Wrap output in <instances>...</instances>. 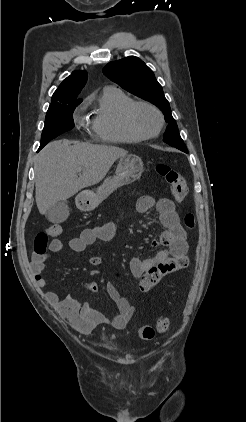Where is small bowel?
Masks as SVG:
<instances>
[{"label":"small bowel","instance_id":"c3829d8e","mask_svg":"<svg viewBox=\"0 0 246 422\" xmlns=\"http://www.w3.org/2000/svg\"><path fill=\"white\" fill-rule=\"evenodd\" d=\"M136 207L140 212H146L149 209L155 208L159 213L160 223L165 228L159 239L153 242L154 245L162 246V249L151 257L144 259L135 257L130 260L129 266L131 273L136 278H141L150 268L169 258L186 256L189 246L186 231L180 223L175 204L171 199L160 198L156 200L152 196L144 195L138 199ZM116 230L117 224L113 222L84 229L79 236L69 241V247L74 252H83L87 246L97 241H111L115 236ZM63 246L64 244L61 240L53 239L49 243L48 250L50 252H60ZM46 260V254L38 255L34 252L32 255L31 267L35 274L36 284L42 289L47 287V281L41 275ZM88 263L92 266H100L102 259L98 256H92L88 259ZM81 287L93 292L99 289V285L96 282H85L81 284ZM106 291L118 308V313L112 318H107L89 303H79L70 295L59 299L57 293L48 291L45 293V298L80 332L90 333L97 326L103 324H108L116 330H122L131 320L135 312V307L130 304L127 298L120 294L119 290L112 283L106 284Z\"/></svg>","mask_w":246,"mask_h":422}]
</instances>
